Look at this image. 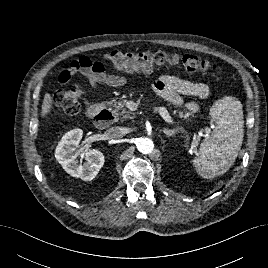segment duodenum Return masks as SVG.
<instances>
[{
  "instance_id": "duodenum-1",
  "label": "duodenum",
  "mask_w": 268,
  "mask_h": 268,
  "mask_svg": "<svg viewBox=\"0 0 268 268\" xmlns=\"http://www.w3.org/2000/svg\"><path fill=\"white\" fill-rule=\"evenodd\" d=\"M88 115L94 120L95 125L102 129L110 127L114 120L112 112L101 104L91 105L88 109Z\"/></svg>"
}]
</instances>
